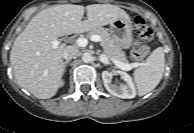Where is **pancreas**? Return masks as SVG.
Instances as JSON below:
<instances>
[{
    "label": "pancreas",
    "mask_w": 194,
    "mask_h": 133,
    "mask_svg": "<svg viewBox=\"0 0 194 133\" xmlns=\"http://www.w3.org/2000/svg\"><path fill=\"white\" fill-rule=\"evenodd\" d=\"M93 35L101 36V46L104 50V53L110 59H116L124 64L127 63L124 51H122L121 47L117 45L114 38L106 29L99 27L88 32L89 37Z\"/></svg>",
    "instance_id": "pancreas-1"
}]
</instances>
